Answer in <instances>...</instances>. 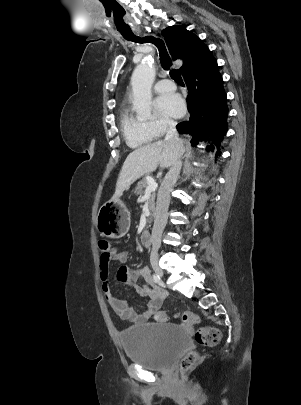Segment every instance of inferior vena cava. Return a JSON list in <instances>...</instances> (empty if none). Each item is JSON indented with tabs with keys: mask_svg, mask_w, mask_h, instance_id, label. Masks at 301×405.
<instances>
[{
	"mask_svg": "<svg viewBox=\"0 0 301 405\" xmlns=\"http://www.w3.org/2000/svg\"><path fill=\"white\" fill-rule=\"evenodd\" d=\"M166 125L167 132L165 141H172L178 145H183V140L179 138L178 132L176 130V122L168 119L166 121ZM181 156L182 154H180L171 165L158 191L155 220L151 235L152 254H157L161 245V236L167 223L170 192L173 185L178 179L182 167Z\"/></svg>",
	"mask_w": 301,
	"mask_h": 405,
	"instance_id": "obj_1",
	"label": "inferior vena cava"
}]
</instances>
